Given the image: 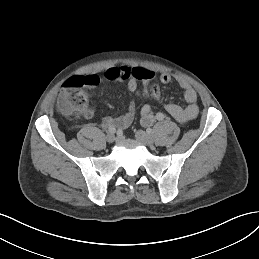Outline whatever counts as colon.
<instances>
[{
	"label": "colon",
	"mask_w": 259,
	"mask_h": 259,
	"mask_svg": "<svg viewBox=\"0 0 259 259\" xmlns=\"http://www.w3.org/2000/svg\"><path fill=\"white\" fill-rule=\"evenodd\" d=\"M87 86L88 81L82 76L71 77L65 82L58 102V109L62 115L76 119L86 111L87 94L84 88ZM140 94L156 99L160 95V89L158 86L145 83Z\"/></svg>",
	"instance_id": "obj_1"
}]
</instances>
